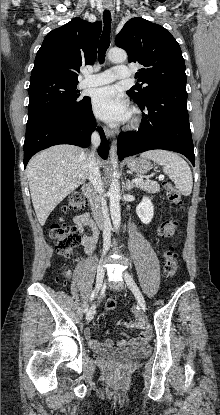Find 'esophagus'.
I'll list each match as a JSON object with an SVG mask.
<instances>
[{
  "mask_svg": "<svg viewBox=\"0 0 220 415\" xmlns=\"http://www.w3.org/2000/svg\"><path fill=\"white\" fill-rule=\"evenodd\" d=\"M105 8L108 9V10H112V4L111 3H106ZM104 132H105V135L109 138L112 137L113 134H114V131L111 130L110 128H108V127L104 128Z\"/></svg>",
  "mask_w": 220,
  "mask_h": 415,
  "instance_id": "1",
  "label": "esophagus"
}]
</instances>
